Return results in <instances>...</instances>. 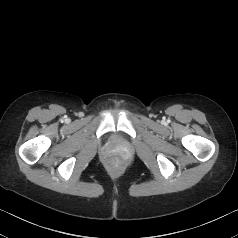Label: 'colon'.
<instances>
[{
	"mask_svg": "<svg viewBox=\"0 0 238 238\" xmlns=\"http://www.w3.org/2000/svg\"><path fill=\"white\" fill-rule=\"evenodd\" d=\"M112 166H113L114 169H119V167H120L119 163L116 162V161L113 162Z\"/></svg>",
	"mask_w": 238,
	"mask_h": 238,
	"instance_id": "1",
	"label": "colon"
}]
</instances>
